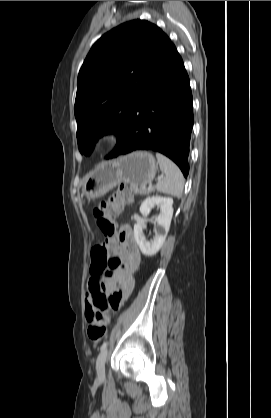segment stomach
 Wrapping results in <instances>:
<instances>
[{"mask_svg": "<svg viewBox=\"0 0 271 418\" xmlns=\"http://www.w3.org/2000/svg\"><path fill=\"white\" fill-rule=\"evenodd\" d=\"M157 163L146 151H137L102 162L85 179L83 192L89 199L103 196L121 182L144 186L155 177Z\"/></svg>", "mask_w": 271, "mask_h": 418, "instance_id": "stomach-1", "label": "stomach"}]
</instances>
